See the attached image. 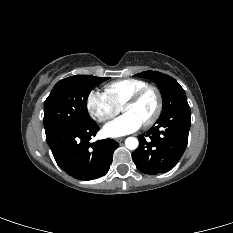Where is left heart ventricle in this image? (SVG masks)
<instances>
[{"label": "left heart ventricle", "mask_w": 233, "mask_h": 233, "mask_svg": "<svg viewBox=\"0 0 233 233\" xmlns=\"http://www.w3.org/2000/svg\"><path fill=\"white\" fill-rule=\"evenodd\" d=\"M157 107V98L154 92L145 93L135 104L123 109L124 113L132 114L141 124L146 122L154 114Z\"/></svg>", "instance_id": "left-heart-ventricle-1"}]
</instances>
